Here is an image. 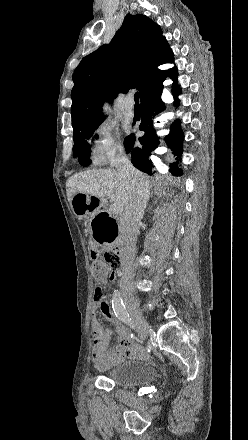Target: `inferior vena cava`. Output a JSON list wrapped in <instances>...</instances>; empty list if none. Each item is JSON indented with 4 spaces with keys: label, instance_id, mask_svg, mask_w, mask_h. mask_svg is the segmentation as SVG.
Instances as JSON below:
<instances>
[{
    "label": "inferior vena cava",
    "instance_id": "obj_1",
    "mask_svg": "<svg viewBox=\"0 0 248 440\" xmlns=\"http://www.w3.org/2000/svg\"><path fill=\"white\" fill-rule=\"evenodd\" d=\"M117 170L119 174L131 179L134 184L133 198L125 207L120 218V231L123 239V248L120 256L123 273L121 283L124 284L131 277L130 265L135 255L138 224L143 218L149 200V185L142 173L132 165L131 161L124 154L120 155L118 159Z\"/></svg>",
    "mask_w": 248,
    "mask_h": 440
}]
</instances>
